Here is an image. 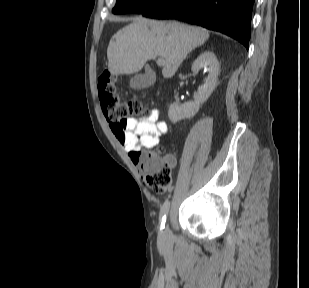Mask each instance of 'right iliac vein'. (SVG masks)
Wrapping results in <instances>:
<instances>
[{
	"label": "right iliac vein",
	"mask_w": 309,
	"mask_h": 288,
	"mask_svg": "<svg viewBox=\"0 0 309 288\" xmlns=\"http://www.w3.org/2000/svg\"><path fill=\"white\" fill-rule=\"evenodd\" d=\"M162 235H163V238L165 240H169L170 239V231H169L168 227L165 228V230L163 231Z\"/></svg>",
	"instance_id": "1"
}]
</instances>
